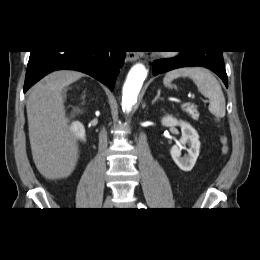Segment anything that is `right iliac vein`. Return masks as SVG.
I'll return each instance as SVG.
<instances>
[{
  "label": "right iliac vein",
  "instance_id": "1",
  "mask_svg": "<svg viewBox=\"0 0 260 260\" xmlns=\"http://www.w3.org/2000/svg\"><path fill=\"white\" fill-rule=\"evenodd\" d=\"M113 206V202L111 198H107L104 202V208L108 209L111 208Z\"/></svg>",
  "mask_w": 260,
  "mask_h": 260
}]
</instances>
